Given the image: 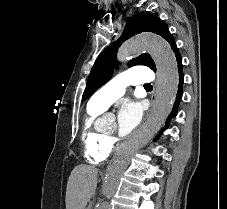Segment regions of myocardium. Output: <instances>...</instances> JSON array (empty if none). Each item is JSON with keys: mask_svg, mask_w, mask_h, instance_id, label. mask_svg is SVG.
<instances>
[{"mask_svg": "<svg viewBox=\"0 0 227 209\" xmlns=\"http://www.w3.org/2000/svg\"><path fill=\"white\" fill-rule=\"evenodd\" d=\"M109 138H111L112 135H107Z\"/></svg>", "mask_w": 227, "mask_h": 209, "instance_id": "1", "label": "myocardium"}]
</instances>
